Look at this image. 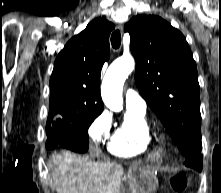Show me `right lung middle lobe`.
<instances>
[{
    "instance_id": "1",
    "label": "right lung middle lobe",
    "mask_w": 221,
    "mask_h": 193,
    "mask_svg": "<svg viewBox=\"0 0 221 193\" xmlns=\"http://www.w3.org/2000/svg\"><path fill=\"white\" fill-rule=\"evenodd\" d=\"M100 113L68 117L49 115L46 126V148L53 149L60 145L80 153L86 152L89 147V138L86 130Z\"/></svg>"
}]
</instances>
